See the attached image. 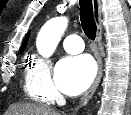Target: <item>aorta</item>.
<instances>
[{
	"label": "aorta",
	"instance_id": "aorta-1",
	"mask_svg": "<svg viewBox=\"0 0 131 115\" xmlns=\"http://www.w3.org/2000/svg\"><path fill=\"white\" fill-rule=\"evenodd\" d=\"M68 25L66 17H56L49 20L40 30L36 46L39 54L43 57H50L61 39Z\"/></svg>",
	"mask_w": 131,
	"mask_h": 115
}]
</instances>
